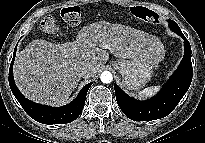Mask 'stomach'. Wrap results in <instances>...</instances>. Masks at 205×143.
Masks as SVG:
<instances>
[{"label": "stomach", "mask_w": 205, "mask_h": 143, "mask_svg": "<svg viewBox=\"0 0 205 143\" xmlns=\"http://www.w3.org/2000/svg\"><path fill=\"white\" fill-rule=\"evenodd\" d=\"M162 54L158 49L156 56L160 57ZM155 63L151 57L137 56L130 59H119L113 63V67L122 75V84L125 88L140 90L151 80Z\"/></svg>", "instance_id": "obj_1"}]
</instances>
